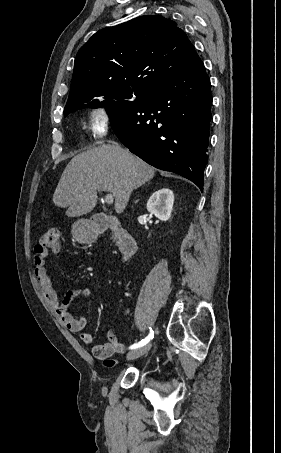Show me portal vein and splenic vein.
I'll return each mask as SVG.
<instances>
[{
    "mask_svg": "<svg viewBox=\"0 0 281 453\" xmlns=\"http://www.w3.org/2000/svg\"><path fill=\"white\" fill-rule=\"evenodd\" d=\"M114 198H113V194H105L104 196V202H107V204H112Z\"/></svg>",
    "mask_w": 281,
    "mask_h": 453,
    "instance_id": "1",
    "label": "portal vein and splenic vein"
}]
</instances>
